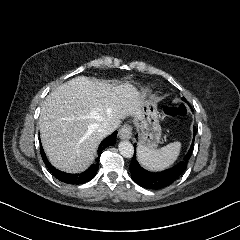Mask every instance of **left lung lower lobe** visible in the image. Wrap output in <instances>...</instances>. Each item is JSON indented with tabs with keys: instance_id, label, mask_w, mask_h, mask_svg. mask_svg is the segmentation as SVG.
Returning a JSON list of instances; mask_svg holds the SVG:
<instances>
[{
	"instance_id": "obj_1",
	"label": "left lung lower lobe",
	"mask_w": 240,
	"mask_h": 240,
	"mask_svg": "<svg viewBox=\"0 0 240 240\" xmlns=\"http://www.w3.org/2000/svg\"><path fill=\"white\" fill-rule=\"evenodd\" d=\"M194 137H195V131H194ZM135 147H136V144H134V148ZM192 149H193V143L190 147L188 154L185 156L183 161L179 162L176 166L172 167L171 169H168L159 173L150 172L142 168L137 162L134 155L129 167L131 172V177L133 181H135L138 185L144 188L154 189V190L164 188L170 185L171 183H173L182 174V172L187 166V161L191 156Z\"/></svg>"
}]
</instances>
